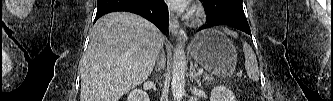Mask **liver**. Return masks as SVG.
<instances>
[{
    "label": "liver",
    "instance_id": "6515ba94",
    "mask_svg": "<svg viewBox=\"0 0 333 101\" xmlns=\"http://www.w3.org/2000/svg\"><path fill=\"white\" fill-rule=\"evenodd\" d=\"M163 44V34L138 15L100 18L81 63V101H119L147 80Z\"/></svg>",
    "mask_w": 333,
    "mask_h": 101
}]
</instances>
